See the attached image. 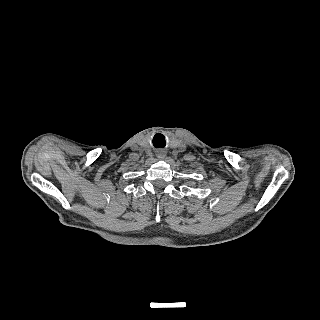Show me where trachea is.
Returning a JSON list of instances; mask_svg holds the SVG:
<instances>
[{"instance_id":"1","label":"trachea","mask_w":320,"mask_h":320,"mask_svg":"<svg viewBox=\"0 0 320 320\" xmlns=\"http://www.w3.org/2000/svg\"><path fill=\"white\" fill-rule=\"evenodd\" d=\"M153 145L155 148L165 147L166 142L164 135L161 133L155 134V136L153 137Z\"/></svg>"}]
</instances>
